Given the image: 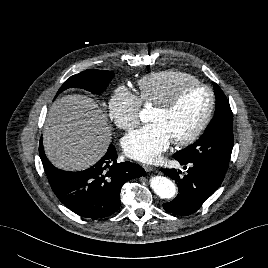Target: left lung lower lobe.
I'll use <instances>...</instances> for the list:
<instances>
[{
	"instance_id": "obj_1",
	"label": "left lung lower lobe",
	"mask_w": 268,
	"mask_h": 268,
	"mask_svg": "<svg viewBox=\"0 0 268 268\" xmlns=\"http://www.w3.org/2000/svg\"><path fill=\"white\" fill-rule=\"evenodd\" d=\"M180 164L190 166L184 177H180L179 172L175 169L161 170L175 180L179 189L177 197L171 202L164 203L163 207L170 213L189 215L196 212L203 202L215 192L222 183L226 172L207 163L180 162ZM184 168L186 169V166Z\"/></svg>"
}]
</instances>
